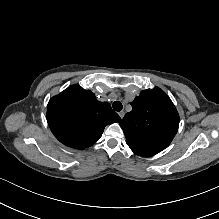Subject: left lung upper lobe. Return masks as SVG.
Returning a JSON list of instances; mask_svg holds the SVG:
<instances>
[{
  "label": "left lung upper lobe",
  "instance_id": "left-lung-upper-lobe-1",
  "mask_svg": "<svg viewBox=\"0 0 219 219\" xmlns=\"http://www.w3.org/2000/svg\"><path fill=\"white\" fill-rule=\"evenodd\" d=\"M120 123L126 143L137 155L153 156L165 149L179 127V114L160 88L147 89L131 102Z\"/></svg>",
  "mask_w": 219,
  "mask_h": 219
}]
</instances>
